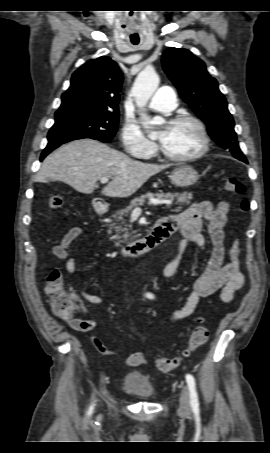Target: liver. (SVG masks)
<instances>
[{"label":"liver","mask_w":270,"mask_h":453,"mask_svg":"<svg viewBox=\"0 0 270 453\" xmlns=\"http://www.w3.org/2000/svg\"><path fill=\"white\" fill-rule=\"evenodd\" d=\"M168 167L133 160L99 141L81 139L64 144L47 156L35 181H62L80 193L91 194L96 182L107 177L111 182L101 193L108 197L126 198L150 177Z\"/></svg>","instance_id":"1"}]
</instances>
